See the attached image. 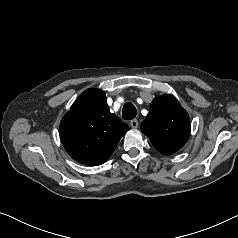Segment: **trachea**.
<instances>
[{
    "instance_id": "trachea-1",
    "label": "trachea",
    "mask_w": 238,
    "mask_h": 238,
    "mask_svg": "<svg viewBox=\"0 0 238 238\" xmlns=\"http://www.w3.org/2000/svg\"><path fill=\"white\" fill-rule=\"evenodd\" d=\"M136 114H137V110L132 103L127 102L124 104L123 109H122L123 119L131 120L136 117Z\"/></svg>"
}]
</instances>
